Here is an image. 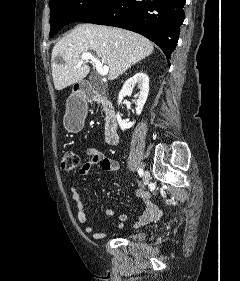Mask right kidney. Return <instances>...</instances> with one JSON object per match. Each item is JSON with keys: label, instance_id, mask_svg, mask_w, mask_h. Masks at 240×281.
Returning <instances> with one entry per match:
<instances>
[{"label": "right kidney", "instance_id": "right-kidney-1", "mask_svg": "<svg viewBox=\"0 0 240 281\" xmlns=\"http://www.w3.org/2000/svg\"><path fill=\"white\" fill-rule=\"evenodd\" d=\"M136 84L140 89L138 99L136 100V104H137L136 113L137 115H140L146 103L149 93V78L145 73L142 72L137 73L124 83L118 95V105H120V103L122 102L125 96L131 95L132 88ZM116 118L121 130L123 131L131 128L134 125V122L126 123L125 121H123L119 113H117Z\"/></svg>", "mask_w": 240, "mask_h": 281}]
</instances>
